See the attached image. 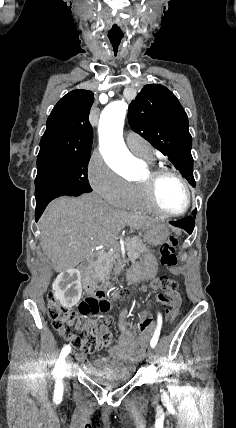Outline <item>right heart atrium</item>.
Instances as JSON below:
<instances>
[{"instance_id": "1", "label": "right heart atrium", "mask_w": 236, "mask_h": 428, "mask_svg": "<svg viewBox=\"0 0 236 428\" xmlns=\"http://www.w3.org/2000/svg\"><path fill=\"white\" fill-rule=\"evenodd\" d=\"M88 180L92 190L100 200L107 201V206L124 205L130 191V185L117 175L101 157L97 156L90 160Z\"/></svg>"}]
</instances>
